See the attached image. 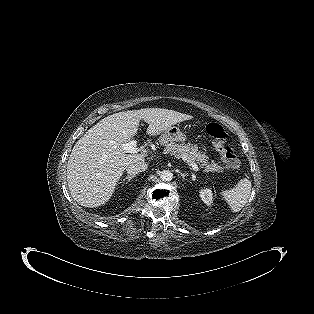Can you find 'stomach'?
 I'll list each match as a JSON object with an SVG mask.
<instances>
[{
  "instance_id": "stomach-1",
  "label": "stomach",
  "mask_w": 314,
  "mask_h": 314,
  "mask_svg": "<svg viewBox=\"0 0 314 314\" xmlns=\"http://www.w3.org/2000/svg\"><path fill=\"white\" fill-rule=\"evenodd\" d=\"M159 141L161 144L167 142H180L181 144H183L186 141V136L182 133L179 127L171 126L161 133Z\"/></svg>"
}]
</instances>
